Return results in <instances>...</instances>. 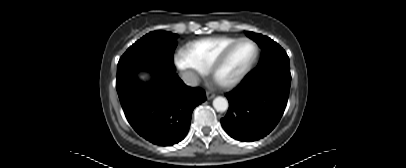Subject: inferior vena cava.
I'll return each mask as SVG.
<instances>
[{
  "label": "inferior vena cava",
  "instance_id": "obj_1",
  "mask_svg": "<svg viewBox=\"0 0 406 168\" xmlns=\"http://www.w3.org/2000/svg\"><path fill=\"white\" fill-rule=\"evenodd\" d=\"M183 82L191 87H196L199 84V78L192 72H184L181 75Z\"/></svg>",
  "mask_w": 406,
  "mask_h": 168
}]
</instances>
